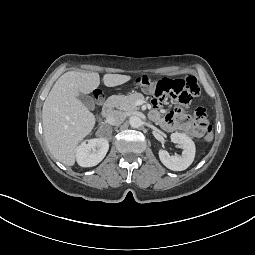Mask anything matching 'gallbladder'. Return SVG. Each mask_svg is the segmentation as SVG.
I'll return each mask as SVG.
<instances>
[{"mask_svg":"<svg viewBox=\"0 0 255 255\" xmlns=\"http://www.w3.org/2000/svg\"><path fill=\"white\" fill-rule=\"evenodd\" d=\"M77 98L87 109H95V102L91 96L80 94Z\"/></svg>","mask_w":255,"mask_h":255,"instance_id":"bac80fb5","label":"gallbladder"}]
</instances>
